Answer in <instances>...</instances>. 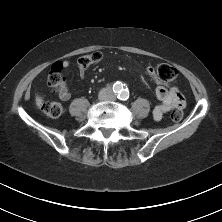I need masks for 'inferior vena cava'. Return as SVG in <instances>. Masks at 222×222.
I'll use <instances>...</instances> for the list:
<instances>
[{"label":"inferior vena cava","mask_w":222,"mask_h":222,"mask_svg":"<svg viewBox=\"0 0 222 222\" xmlns=\"http://www.w3.org/2000/svg\"><path fill=\"white\" fill-rule=\"evenodd\" d=\"M106 92V89H103L101 92H100V96L104 95Z\"/></svg>","instance_id":"602c4592"}]
</instances>
